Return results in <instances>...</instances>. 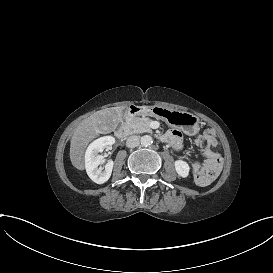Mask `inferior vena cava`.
Segmentation results:
<instances>
[{
	"instance_id": "inferior-vena-cava-1",
	"label": "inferior vena cava",
	"mask_w": 273,
	"mask_h": 273,
	"mask_svg": "<svg viewBox=\"0 0 273 273\" xmlns=\"http://www.w3.org/2000/svg\"><path fill=\"white\" fill-rule=\"evenodd\" d=\"M139 137L136 135L129 136L126 141V146L129 148H135L139 145Z\"/></svg>"
}]
</instances>
